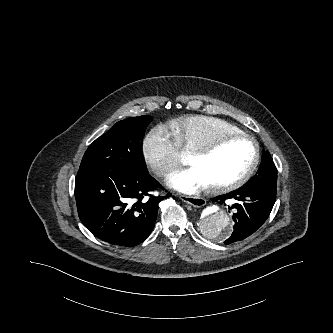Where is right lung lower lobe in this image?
<instances>
[{"mask_svg": "<svg viewBox=\"0 0 333 333\" xmlns=\"http://www.w3.org/2000/svg\"><path fill=\"white\" fill-rule=\"evenodd\" d=\"M160 187L148 172L78 171L75 198L79 218L93 235L105 242L136 246L153 230L163 197L152 196L150 191ZM145 196H149L147 201L143 200Z\"/></svg>", "mask_w": 333, "mask_h": 333, "instance_id": "98d812e1", "label": "right lung lower lobe"}]
</instances>
